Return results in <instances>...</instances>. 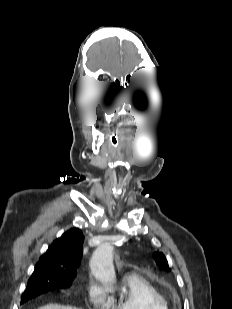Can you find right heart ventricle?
<instances>
[{
    "mask_svg": "<svg viewBox=\"0 0 232 309\" xmlns=\"http://www.w3.org/2000/svg\"><path fill=\"white\" fill-rule=\"evenodd\" d=\"M105 309H169L166 298L146 278L126 274L120 292L109 297Z\"/></svg>",
    "mask_w": 232,
    "mask_h": 309,
    "instance_id": "right-heart-ventricle-1",
    "label": "right heart ventricle"
}]
</instances>
